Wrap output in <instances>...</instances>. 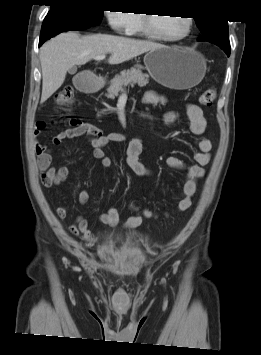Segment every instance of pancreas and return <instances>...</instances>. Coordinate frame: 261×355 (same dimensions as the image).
Masks as SVG:
<instances>
[{"instance_id": "cf45deb5", "label": "pancreas", "mask_w": 261, "mask_h": 355, "mask_svg": "<svg viewBox=\"0 0 261 355\" xmlns=\"http://www.w3.org/2000/svg\"><path fill=\"white\" fill-rule=\"evenodd\" d=\"M148 77L147 74L142 73L141 69L124 70L110 81V86L107 88V97L115 98L128 85L138 84L140 87H144L148 84Z\"/></svg>"}]
</instances>
